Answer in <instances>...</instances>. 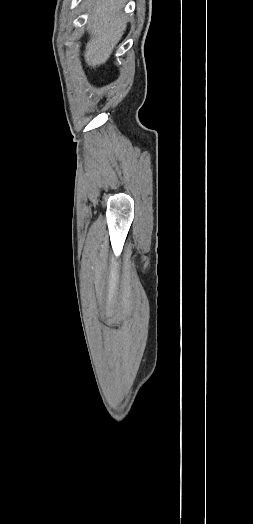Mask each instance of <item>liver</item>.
<instances>
[{
    "instance_id": "6515ba94",
    "label": "liver",
    "mask_w": 253,
    "mask_h": 524,
    "mask_svg": "<svg viewBox=\"0 0 253 524\" xmlns=\"http://www.w3.org/2000/svg\"><path fill=\"white\" fill-rule=\"evenodd\" d=\"M125 0H91L88 21L90 40L86 44L85 61L95 68L105 64L126 30V16L121 10Z\"/></svg>"
}]
</instances>
